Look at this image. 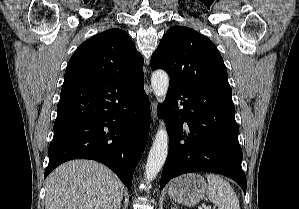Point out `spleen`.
Instances as JSON below:
<instances>
[{
	"label": "spleen",
	"instance_id": "3e777b00",
	"mask_svg": "<svg viewBox=\"0 0 299 209\" xmlns=\"http://www.w3.org/2000/svg\"><path fill=\"white\" fill-rule=\"evenodd\" d=\"M209 186L207 196L218 209H240L239 200L231 185L216 174H206Z\"/></svg>",
	"mask_w": 299,
	"mask_h": 209
}]
</instances>
